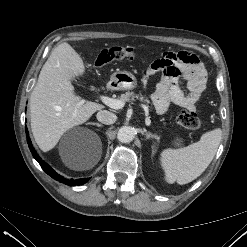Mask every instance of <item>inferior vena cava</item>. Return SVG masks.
Returning <instances> with one entry per match:
<instances>
[{
	"instance_id": "obj_1",
	"label": "inferior vena cava",
	"mask_w": 247,
	"mask_h": 247,
	"mask_svg": "<svg viewBox=\"0 0 247 247\" xmlns=\"http://www.w3.org/2000/svg\"><path fill=\"white\" fill-rule=\"evenodd\" d=\"M97 120L103 124L110 125L116 122L117 116L107 110H100L97 115Z\"/></svg>"
}]
</instances>
